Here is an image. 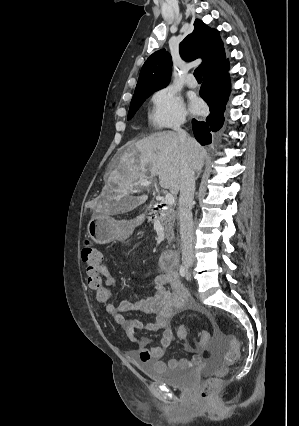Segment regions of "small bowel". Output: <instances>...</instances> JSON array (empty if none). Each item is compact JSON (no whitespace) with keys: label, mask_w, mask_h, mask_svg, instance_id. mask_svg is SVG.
<instances>
[{"label":"small bowel","mask_w":299,"mask_h":426,"mask_svg":"<svg viewBox=\"0 0 299 426\" xmlns=\"http://www.w3.org/2000/svg\"><path fill=\"white\" fill-rule=\"evenodd\" d=\"M162 270V273L156 276L154 280V293L152 296L138 298L134 301L121 300L118 303H114L112 288L116 286L117 279L111 274L103 261L99 267V272L104 284L109 289V295L104 304L106 305V310L115 316L116 322L124 328L129 340L136 346L128 354L131 361L151 362L158 369L168 367L193 368L201 363L205 354L202 347L198 345L185 344V349L192 354L190 359L172 358L168 362L162 360L166 349L173 339L170 320L181 311L187 309L198 311L208 317L209 314L192 300L179 279L176 266L170 269L162 267ZM127 312L152 314L155 318L153 322L144 323L137 319H126L123 314ZM138 330H160L162 337L159 345L150 346L151 339L137 337L136 332Z\"/></svg>","instance_id":"obj_1"}]
</instances>
